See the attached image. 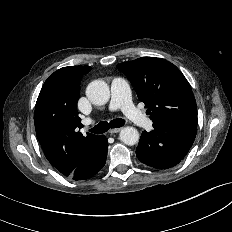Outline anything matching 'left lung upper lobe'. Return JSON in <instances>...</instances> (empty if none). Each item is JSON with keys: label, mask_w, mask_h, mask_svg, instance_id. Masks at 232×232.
Instances as JSON below:
<instances>
[{"label": "left lung upper lobe", "mask_w": 232, "mask_h": 232, "mask_svg": "<svg viewBox=\"0 0 232 232\" xmlns=\"http://www.w3.org/2000/svg\"><path fill=\"white\" fill-rule=\"evenodd\" d=\"M135 87L153 124L197 127V106L191 86L171 62L141 57L117 65Z\"/></svg>", "instance_id": "obj_1"}]
</instances>
